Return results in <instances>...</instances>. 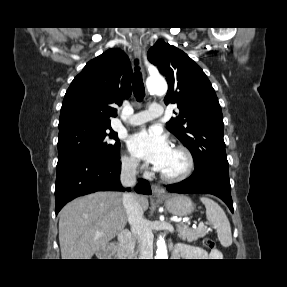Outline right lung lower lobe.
Listing matches in <instances>:
<instances>
[{
    "label": "right lung lower lobe",
    "instance_id": "obj_1",
    "mask_svg": "<svg viewBox=\"0 0 287 287\" xmlns=\"http://www.w3.org/2000/svg\"><path fill=\"white\" fill-rule=\"evenodd\" d=\"M55 213L72 199L97 191H125L120 183L121 162L105 161L92 157L74 156L57 163ZM130 191V188H127ZM135 191L151 194L146 180H141Z\"/></svg>",
    "mask_w": 287,
    "mask_h": 287
}]
</instances>
